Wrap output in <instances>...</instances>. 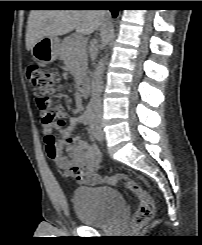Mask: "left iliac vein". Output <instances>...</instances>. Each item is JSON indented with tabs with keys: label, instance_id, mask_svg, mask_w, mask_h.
I'll return each mask as SVG.
<instances>
[{
	"label": "left iliac vein",
	"instance_id": "4c4485c4",
	"mask_svg": "<svg viewBox=\"0 0 202 245\" xmlns=\"http://www.w3.org/2000/svg\"><path fill=\"white\" fill-rule=\"evenodd\" d=\"M91 135L98 141H103L105 134L100 120L93 119L90 122Z\"/></svg>",
	"mask_w": 202,
	"mask_h": 245
}]
</instances>
